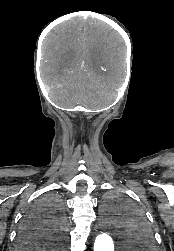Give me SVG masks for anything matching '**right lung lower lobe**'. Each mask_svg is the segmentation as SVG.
Masks as SVG:
<instances>
[{
	"label": "right lung lower lobe",
	"instance_id": "obj_1",
	"mask_svg": "<svg viewBox=\"0 0 174 251\" xmlns=\"http://www.w3.org/2000/svg\"><path fill=\"white\" fill-rule=\"evenodd\" d=\"M59 234L51 230V228L39 222L24 221L19 229L17 239V251H34L40 250L50 238V236H58ZM62 247V242H57Z\"/></svg>",
	"mask_w": 174,
	"mask_h": 251
}]
</instances>
